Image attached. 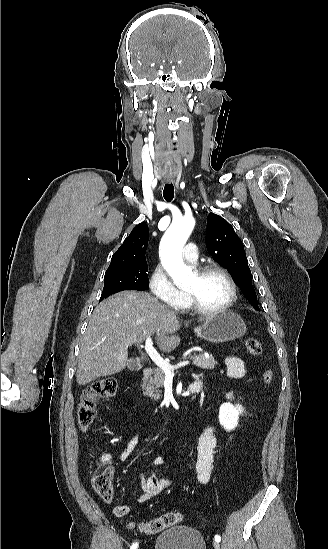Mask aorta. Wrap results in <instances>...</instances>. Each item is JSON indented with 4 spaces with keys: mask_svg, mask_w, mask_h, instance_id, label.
I'll return each instance as SVG.
<instances>
[{
    "mask_svg": "<svg viewBox=\"0 0 328 549\" xmlns=\"http://www.w3.org/2000/svg\"><path fill=\"white\" fill-rule=\"evenodd\" d=\"M195 225L192 216L174 220L165 232L160 245L162 265L177 286L188 284L193 278V271L182 259V249Z\"/></svg>",
    "mask_w": 328,
    "mask_h": 549,
    "instance_id": "aorta-1",
    "label": "aorta"
}]
</instances>
